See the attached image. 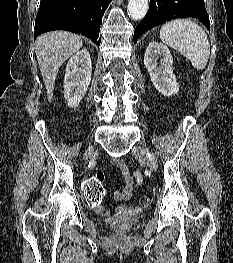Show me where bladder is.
Masks as SVG:
<instances>
[{
    "label": "bladder",
    "mask_w": 233,
    "mask_h": 263,
    "mask_svg": "<svg viewBox=\"0 0 233 263\" xmlns=\"http://www.w3.org/2000/svg\"><path fill=\"white\" fill-rule=\"evenodd\" d=\"M139 217L140 215L135 212L119 213L107 218L106 225L110 228H121L125 230L131 228Z\"/></svg>",
    "instance_id": "1"
}]
</instances>
